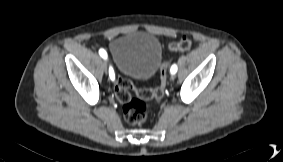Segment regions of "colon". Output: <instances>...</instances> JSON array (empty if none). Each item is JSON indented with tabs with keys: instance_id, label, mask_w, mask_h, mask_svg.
Returning a JSON list of instances; mask_svg holds the SVG:
<instances>
[{
	"instance_id": "colon-1",
	"label": "colon",
	"mask_w": 283,
	"mask_h": 162,
	"mask_svg": "<svg viewBox=\"0 0 283 162\" xmlns=\"http://www.w3.org/2000/svg\"><path fill=\"white\" fill-rule=\"evenodd\" d=\"M192 46V40L183 37L177 42L169 44L172 51H186ZM168 62L164 61L160 67L159 81L153 89H136L132 81L124 77H117L115 81V95L122 104L123 115L127 123L131 125H142L150 117V101L159 100L164 95L166 85V71ZM135 92L136 96H132Z\"/></svg>"
}]
</instances>
